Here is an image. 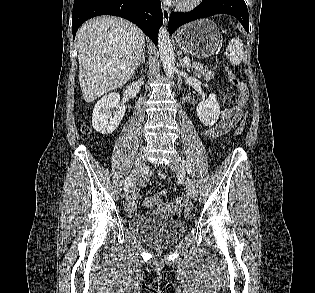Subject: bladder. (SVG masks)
<instances>
[{"mask_svg": "<svg viewBox=\"0 0 315 293\" xmlns=\"http://www.w3.org/2000/svg\"><path fill=\"white\" fill-rule=\"evenodd\" d=\"M130 231L144 242L155 247H167L176 243L185 233L183 220L166 216H140L129 222Z\"/></svg>", "mask_w": 315, "mask_h": 293, "instance_id": "1", "label": "bladder"}]
</instances>
